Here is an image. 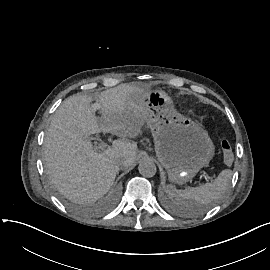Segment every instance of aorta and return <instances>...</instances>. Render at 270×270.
I'll use <instances>...</instances> for the list:
<instances>
[{
  "mask_svg": "<svg viewBox=\"0 0 270 270\" xmlns=\"http://www.w3.org/2000/svg\"><path fill=\"white\" fill-rule=\"evenodd\" d=\"M138 170L144 177H153L156 173V165L150 159H144L139 163Z\"/></svg>",
  "mask_w": 270,
  "mask_h": 270,
  "instance_id": "1",
  "label": "aorta"
}]
</instances>
